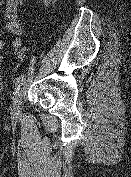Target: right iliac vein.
<instances>
[{
	"label": "right iliac vein",
	"instance_id": "right-iliac-vein-1",
	"mask_svg": "<svg viewBox=\"0 0 131 177\" xmlns=\"http://www.w3.org/2000/svg\"><path fill=\"white\" fill-rule=\"evenodd\" d=\"M22 90H19L13 97V102H12V114L14 116L19 115L20 109H21V104H22Z\"/></svg>",
	"mask_w": 131,
	"mask_h": 177
}]
</instances>
